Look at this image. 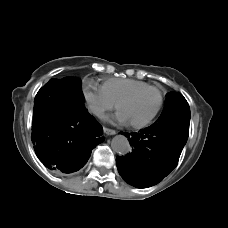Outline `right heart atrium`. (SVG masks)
Segmentation results:
<instances>
[{
  "label": "right heart atrium",
  "instance_id": "1",
  "mask_svg": "<svg viewBox=\"0 0 228 228\" xmlns=\"http://www.w3.org/2000/svg\"><path fill=\"white\" fill-rule=\"evenodd\" d=\"M84 97L91 112L97 116H102L106 111L114 108V103L104 94L102 89H94L87 85L84 88Z\"/></svg>",
  "mask_w": 228,
  "mask_h": 228
}]
</instances>
